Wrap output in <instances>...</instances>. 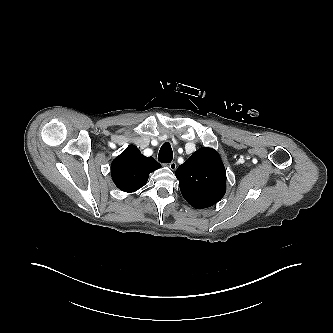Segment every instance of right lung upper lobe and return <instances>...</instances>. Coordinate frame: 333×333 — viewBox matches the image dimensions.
I'll return each instance as SVG.
<instances>
[{
  "mask_svg": "<svg viewBox=\"0 0 333 333\" xmlns=\"http://www.w3.org/2000/svg\"><path fill=\"white\" fill-rule=\"evenodd\" d=\"M161 165L153 157H145L135 145H129L111 164L115 185L124 192H134L143 187L151 172Z\"/></svg>",
  "mask_w": 333,
  "mask_h": 333,
  "instance_id": "obj_1",
  "label": "right lung upper lobe"
}]
</instances>
